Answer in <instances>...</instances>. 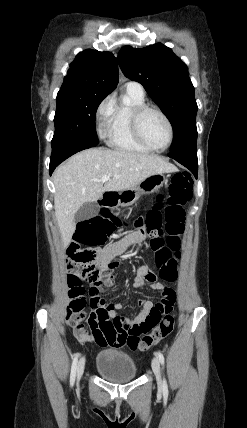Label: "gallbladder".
Masks as SVG:
<instances>
[{
	"mask_svg": "<svg viewBox=\"0 0 247 428\" xmlns=\"http://www.w3.org/2000/svg\"><path fill=\"white\" fill-rule=\"evenodd\" d=\"M99 212V206L96 202H86L75 214V221L82 222L95 217Z\"/></svg>",
	"mask_w": 247,
	"mask_h": 428,
	"instance_id": "gallbladder-1",
	"label": "gallbladder"
}]
</instances>
